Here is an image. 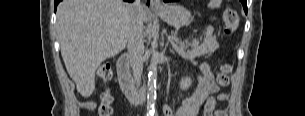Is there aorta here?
Segmentation results:
<instances>
[{
    "mask_svg": "<svg viewBox=\"0 0 305 116\" xmlns=\"http://www.w3.org/2000/svg\"><path fill=\"white\" fill-rule=\"evenodd\" d=\"M151 49V60L148 70V83H147V110L149 113L154 112L156 95H157V66L159 63L158 52L156 50L157 44L153 42Z\"/></svg>",
    "mask_w": 305,
    "mask_h": 116,
    "instance_id": "obj_1",
    "label": "aorta"
}]
</instances>
